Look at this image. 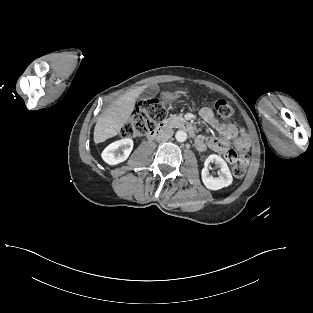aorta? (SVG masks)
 <instances>
[{
    "label": "aorta",
    "mask_w": 313,
    "mask_h": 313,
    "mask_svg": "<svg viewBox=\"0 0 313 313\" xmlns=\"http://www.w3.org/2000/svg\"><path fill=\"white\" fill-rule=\"evenodd\" d=\"M175 138L178 142H184L187 139V133L183 130H178L175 133Z\"/></svg>",
    "instance_id": "1"
}]
</instances>
